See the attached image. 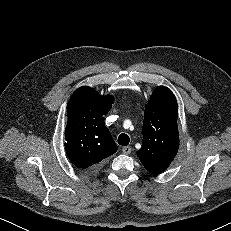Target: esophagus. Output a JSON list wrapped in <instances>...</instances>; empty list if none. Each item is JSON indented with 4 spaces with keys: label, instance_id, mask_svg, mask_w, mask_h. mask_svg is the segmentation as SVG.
I'll list each match as a JSON object with an SVG mask.
<instances>
[{
    "label": "esophagus",
    "instance_id": "1",
    "mask_svg": "<svg viewBox=\"0 0 231 231\" xmlns=\"http://www.w3.org/2000/svg\"><path fill=\"white\" fill-rule=\"evenodd\" d=\"M122 152H123V154L128 155V154L131 153V148L128 147V146L123 147V148H122Z\"/></svg>",
    "mask_w": 231,
    "mask_h": 231
}]
</instances>
